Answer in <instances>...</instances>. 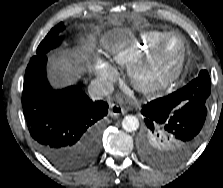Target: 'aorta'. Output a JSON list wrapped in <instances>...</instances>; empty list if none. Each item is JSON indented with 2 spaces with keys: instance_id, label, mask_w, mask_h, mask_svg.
I'll list each match as a JSON object with an SVG mask.
<instances>
[{
  "instance_id": "obj_1",
  "label": "aorta",
  "mask_w": 223,
  "mask_h": 188,
  "mask_svg": "<svg viewBox=\"0 0 223 188\" xmlns=\"http://www.w3.org/2000/svg\"><path fill=\"white\" fill-rule=\"evenodd\" d=\"M122 127L127 132H134L139 128V120L136 116L127 115L122 121Z\"/></svg>"
}]
</instances>
